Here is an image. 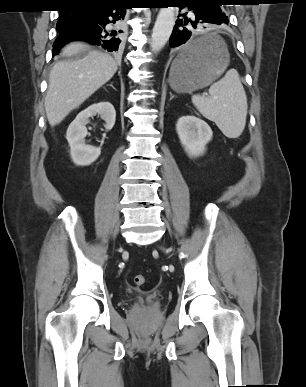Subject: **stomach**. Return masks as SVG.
I'll return each instance as SVG.
<instances>
[{"label":"stomach","mask_w":306,"mask_h":387,"mask_svg":"<svg viewBox=\"0 0 306 387\" xmlns=\"http://www.w3.org/2000/svg\"><path fill=\"white\" fill-rule=\"evenodd\" d=\"M212 40L208 50L188 62L182 61V52L173 61L169 74L171 88L179 93H192L214 82L227 68L230 55L224 41L217 35L206 33L191 42L199 44Z\"/></svg>","instance_id":"obj_1"}]
</instances>
